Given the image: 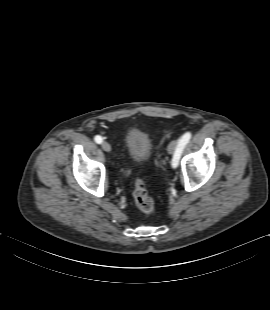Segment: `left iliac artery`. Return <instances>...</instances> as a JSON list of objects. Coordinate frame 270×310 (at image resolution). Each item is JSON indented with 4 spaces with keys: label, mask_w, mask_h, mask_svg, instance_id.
<instances>
[{
    "label": "left iliac artery",
    "mask_w": 270,
    "mask_h": 310,
    "mask_svg": "<svg viewBox=\"0 0 270 310\" xmlns=\"http://www.w3.org/2000/svg\"><path fill=\"white\" fill-rule=\"evenodd\" d=\"M191 133L190 132H186L182 137L181 139L179 140V143H178V146L175 150V153L173 155V158H172V167L173 168H176L179 164V160H180V157H181V154H182V151L185 147V145L189 142V140L191 139Z\"/></svg>",
    "instance_id": "obj_1"
}]
</instances>
